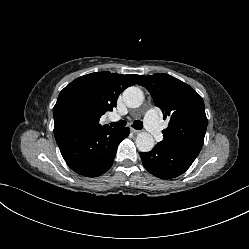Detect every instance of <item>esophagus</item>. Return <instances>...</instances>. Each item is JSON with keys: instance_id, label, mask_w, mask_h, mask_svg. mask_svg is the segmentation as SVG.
<instances>
[{"instance_id": "1", "label": "esophagus", "mask_w": 249, "mask_h": 249, "mask_svg": "<svg viewBox=\"0 0 249 249\" xmlns=\"http://www.w3.org/2000/svg\"><path fill=\"white\" fill-rule=\"evenodd\" d=\"M131 132L134 133V134H139L141 133L142 131L141 130H136L134 128H131Z\"/></svg>"}]
</instances>
